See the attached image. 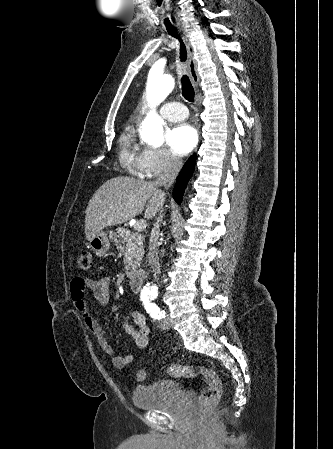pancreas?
Returning <instances> with one entry per match:
<instances>
[{"label":"pancreas","instance_id":"1","mask_svg":"<svg viewBox=\"0 0 333 449\" xmlns=\"http://www.w3.org/2000/svg\"><path fill=\"white\" fill-rule=\"evenodd\" d=\"M109 237L112 238L119 250L124 255L125 269L128 276L140 265L143 258V236L138 232H130L126 229H119L117 232H110ZM117 238H119L117 240Z\"/></svg>","mask_w":333,"mask_h":449}]
</instances>
